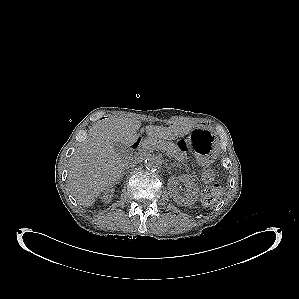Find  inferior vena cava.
Wrapping results in <instances>:
<instances>
[{
	"mask_svg": "<svg viewBox=\"0 0 299 299\" xmlns=\"http://www.w3.org/2000/svg\"><path fill=\"white\" fill-rule=\"evenodd\" d=\"M137 164V161L136 160H130V161H127L126 162V168H129V167H135Z\"/></svg>",
	"mask_w": 299,
	"mask_h": 299,
	"instance_id": "obj_1",
	"label": "inferior vena cava"
}]
</instances>
